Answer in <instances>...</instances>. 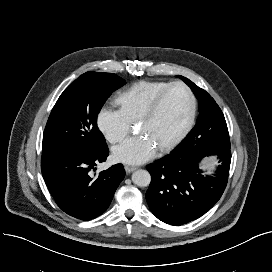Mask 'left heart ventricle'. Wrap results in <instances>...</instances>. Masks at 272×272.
Masks as SVG:
<instances>
[{"mask_svg":"<svg viewBox=\"0 0 272 272\" xmlns=\"http://www.w3.org/2000/svg\"><path fill=\"white\" fill-rule=\"evenodd\" d=\"M188 109L186 92L180 87H175L166 94L156 114L138 125V131L159 148L183 125Z\"/></svg>","mask_w":272,"mask_h":272,"instance_id":"b2bd125f","label":"left heart ventricle"}]
</instances>
